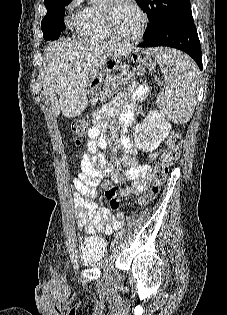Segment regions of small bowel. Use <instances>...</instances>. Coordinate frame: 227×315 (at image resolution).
<instances>
[{
    "mask_svg": "<svg viewBox=\"0 0 227 315\" xmlns=\"http://www.w3.org/2000/svg\"><path fill=\"white\" fill-rule=\"evenodd\" d=\"M148 93L145 86L132 82L126 87L123 95L129 96L131 101H135L147 97ZM104 114L103 110L96 114L80 161V172L72 179L76 226L79 231L88 234H112L123 226V221H119L114 212L107 207L99 206L94 201L96 187L103 178L110 177L115 184L130 182L128 187L120 189L121 196L141 194L147 190L149 183L150 166L139 162L133 156L136 148L128 138H121L117 144L125 153V170H119L112 158L108 159L105 154L99 153V149L107 147L106 140L101 137Z\"/></svg>",
    "mask_w": 227,
    "mask_h": 315,
    "instance_id": "obj_1",
    "label": "small bowel"
}]
</instances>
